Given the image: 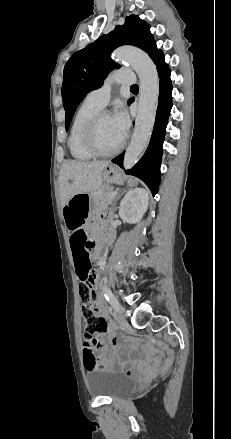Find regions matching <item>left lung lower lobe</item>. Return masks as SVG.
Instances as JSON below:
<instances>
[{
  "mask_svg": "<svg viewBox=\"0 0 231 439\" xmlns=\"http://www.w3.org/2000/svg\"><path fill=\"white\" fill-rule=\"evenodd\" d=\"M152 60L156 64L160 78L159 103L156 113L155 125L149 146L139 162L127 174L136 176L143 180L150 188L153 195L157 193L160 182V165L163 153V141L170 110L172 108V85L170 80V69L164 61L163 52H158ZM133 99L128 101L129 104ZM124 152L112 160L113 163L122 167Z\"/></svg>",
  "mask_w": 231,
  "mask_h": 439,
  "instance_id": "1",
  "label": "left lung lower lobe"
}]
</instances>
